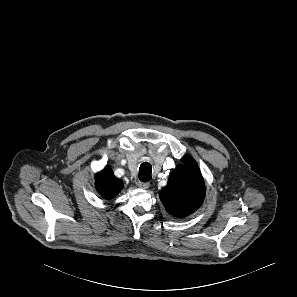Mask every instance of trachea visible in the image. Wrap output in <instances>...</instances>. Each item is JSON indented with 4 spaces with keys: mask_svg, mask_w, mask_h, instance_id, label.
I'll return each mask as SVG.
<instances>
[{
    "mask_svg": "<svg viewBox=\"0 0 297 297\" xmlns=\"http://www.w3.org/2000/svg\"><path fill=\"white\" fill-rule=\"evenodd\" d=\"M152 166L148 162H143L139 168L138 177L142 182H148L151 179Z\"/></svg>",
    "mask_w": 297,
    "mask_h": 297,
    "instance_id": "obj_1",
    "label": "trachea"
}]
</instances>
